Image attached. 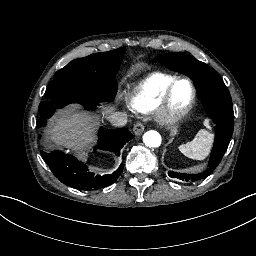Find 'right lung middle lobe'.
<instances>
[{"instance_id":"1","label":"right lung middle lobe","mask_w":256,"mask_h":256,"mask_svg":"<svg viewBox=\"0 0 256 256\" xmlns=\"http://www.w3.org/2000/svg\"><path fill=\"white\" fill-rule=\"evenodd\" d=\"M125 48L95 53L76 59L54 75L46 90V101L39 105L41 116L71 102L112 101L117 90L115 74Z\"/></svg>"}]
</instances>
